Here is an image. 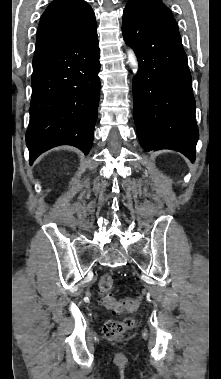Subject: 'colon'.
<instances>
[{
	"label": "colon",
	"mask_w": 221,
	"mask_h": 379,
	"mask_svg": "<svg viewBox=\"0 0 221 379\" xmlns=\"http://www.w3.org/2000/svg\"><path fill=\"white\" fill-rule=\"evenodd\" d=\"M113 286V277L111 274H104L99 281L100 301L102 305L111 314L127 313L128 316L121 320H109L103 326V333L107 338L114 339L123 336L127 331L133 328L135 319L130 315L138 304V298L128 297L116 299L110 291Z\"/></svg>",
	"instance_id": "1"
}]
</instances>
